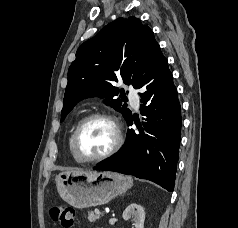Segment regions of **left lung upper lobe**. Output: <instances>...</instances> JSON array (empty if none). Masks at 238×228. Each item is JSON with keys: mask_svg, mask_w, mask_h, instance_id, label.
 Listing matches in <instances>:
<instances>
[{"mask_svg": "<svg viewBox=\"0 0 238 228\" xmlns=\"http://www.w3.org/2000/svg\"><path fill=\"white\" fill-rule=\"evenodd\" d=\"M159 48L153 31L138 18H118L96 36L83 43L68 70L61 122L73 107L88 97L106 98L104 102L123 114L127 120L124 90L113 82L123 80L137 88L145 67ZM120 94V98H115Z\"/></svg>", "mask_w": 238, "mask_h": 228, "instance_id": "left-lung-upper-lobe-1", "label": "left lung upper lobe"}]
</instances>
